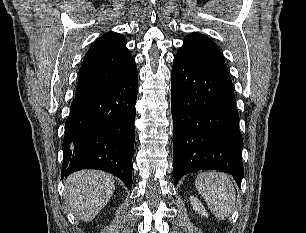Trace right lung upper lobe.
I'll list each match as a JSON object with an SVG mask.
<instances>
[{"instance_id": "right-lung-upper-lobe-1", "label": "right lung upper lobe", "mask_w": 306, "mask_h": 233, "mask_svg": "<svg viewBox=\"0 0 306 233\" xmlns=\"http://www.w3.org/2000/svg\"><path fill=\"white\" fill-rule=\"evenodd\" d=\"M126 43L123 35L108 32L92 44L79 70L75 96L107 88L124 78L136 66Z\"/></svg>"}]
</instances>
